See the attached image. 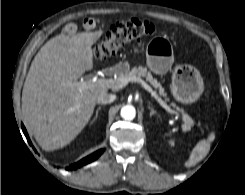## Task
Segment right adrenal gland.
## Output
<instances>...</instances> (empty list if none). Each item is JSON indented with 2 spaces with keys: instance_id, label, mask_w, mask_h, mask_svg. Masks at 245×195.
Returning a JSON list of instances; mask_svg holds the SVG:
<instances>
[{
  "instance_id": "right-adrenal-gland-1",
  "label": "right adrenal gland",
  "mask_w": 245,
  "mask_h": 195,
  "mask_svg": "<svg viewBox=\"0 0 245 195\" xmlns=\"http://www.w3.org/2000/svg\"><path fill=\"white\" fill-rule=\"evenodd\" d=\"M100 110H101V107H98L97 110H96V113H95V117H94L93 120L91 121V124L97 119L98 113H99Z\"/></svg>"
}]
</instances>
